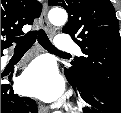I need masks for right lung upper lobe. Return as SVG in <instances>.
I'll use <instances>...</instances> for the list:
<instances>
[{
    "label": "right lung upper lobe",
    "instance_id": "cb5924a9",
    "mask_svg": "<svg viewBox=\"0 0 121 113\" xmlns=\"http://www.w3.org/2000/svg\"><path fill=\"white\" fill-rule=\"evenodd\" d=\"M40 13L36 0H1V52L11 46L13 36L23 35L22 27L32 24Z\"/></svg>",
    "mask_w": 121,
    "mask_h": 113
}]
</instances>
